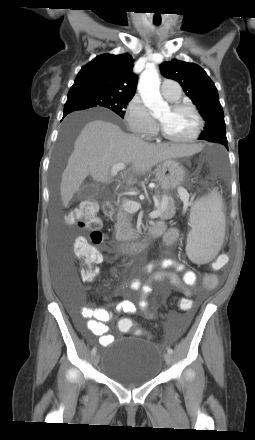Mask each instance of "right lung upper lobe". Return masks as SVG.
I'll return each mask as SVG.
<instances>
[{
  "instance_id": "cb5924a9",
  "label": "right lung upper lobe",
  "mask_w": 255,
  "mask_h": 440,
  "mask_svg": "<svg viewBox=\"0 0 255 440\" xmlns=\"http://www.w3.org/2000/svg\"><path fill=\"white\" fill-rule=\"evenodd\" d=\"M133 62L129 54L97 56L81 68L68 94L90 91L133 98L138 80Z\"/></svg>"
}]
</instances>
